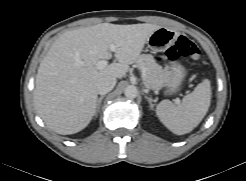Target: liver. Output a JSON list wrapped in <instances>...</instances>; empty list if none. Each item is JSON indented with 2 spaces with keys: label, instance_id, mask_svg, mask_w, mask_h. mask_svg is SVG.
<instances>
[{
  "label": "liver",
  "instance_id": "liver-1",
  "mask_svg": "<svg viewBox=\"0 0 246 181\" xmlns=\"http://www.w3.org/2000/svg\"><path fill=\"white\" fill-rule=\"evenodd\" d=\"M160 27L101 23L60 35L41 61L35 80L34 104L46 126L62 135L83 130L96 113L97 82L125 76ZM111 44L118 46V63L98 69V61L112 57Z\"/></svg>",
  "mask_w": 246,
  "mask_h": 181
}]
</instances>
